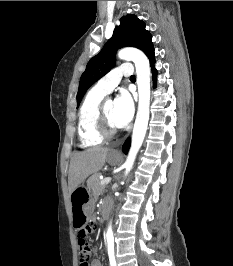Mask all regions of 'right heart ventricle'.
Returning a JSON list of instances; mask_svg holds the SVG:
<instances>
[{"label": "right heart ventricle", "mask_w": 233, "mask_h": 266, "mask_svg": "<svg viewBox=\"0 0 233 266\" xmlns=\"http://www.w3.org/2000/svg\"><path fill=\"white\" fill-rule=\"evenodd\" d=\"M105 93L93 87L84 97L78 115V135L84 147H93L102 144V138L96 129V113Z\"/></svg>", "instance_id": "e07e8e85"}]
</instances>
